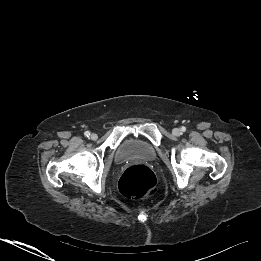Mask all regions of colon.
<instances>
[{"mask_svg": "<svg viewBox=\"0 0 261 261\" xmlns=\"http://www.w3.org/2000/svg\"><path fill=\"white\" fill-rule=\"evenodd\" d=\"M120 192L127 198L141 199L157 190V179L150 168L134 165L127 168L118 183Z\"/></svg>", "mask_w": 261, "mask_h": 261, "instance_id": "5ec220e1", "label": "colon"}]
</instances>
